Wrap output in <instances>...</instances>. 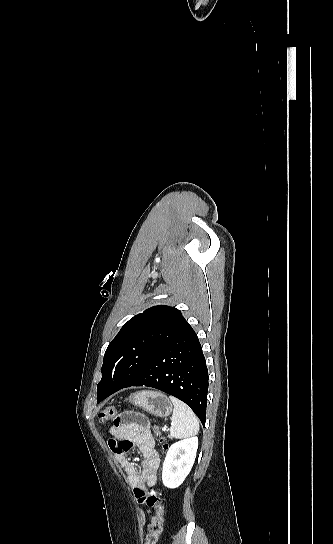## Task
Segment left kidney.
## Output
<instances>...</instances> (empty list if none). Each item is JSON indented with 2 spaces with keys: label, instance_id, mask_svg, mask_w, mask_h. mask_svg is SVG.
Returning a JSON list of instances; mask_svg holds the SVG:
<instances>
[{
  "label": "left kidney",
  "instance_id": "obj_1",
  "mask_svg": "<svg viewBox=\"0 0 333 544\" xmlns=\"http://www.w3.org/2000/svg\"><path fill=\"white\" fill-rule=\"evenodd\" d=\"M198 447V438L190 437L171 445L163 463L162 481L168 488L182 484L191 471Z\"/></svg>",
  "mask_w": 333,
  "mask_h": 544
}]
</instances>
